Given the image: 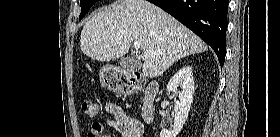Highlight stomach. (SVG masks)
<instances>
[{"label": "stomach", "mask_w": 280, "mask_h": 137, "mask_svg": "<svg viewBox=\"0 0 280 137\" xmlns=\"http://www.w3.org/2000/svg\"><path fill=\"white\" fill-rule=\"evenodd\" d=\"M110 68L108 66L103 67L100 72V77L102 82L105 84V86L114 91L119 93H124V86L120 85L113 77L111 76V72L109 71Z\"/></svg>", "instance_id": "0dacf381"}]
</instances>
